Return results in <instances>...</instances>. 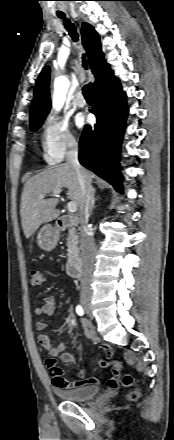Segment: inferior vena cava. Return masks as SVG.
<instances>
[{
    "mask_svg": "<svg viewBox=\"0 0 174 440\" xmlns=\"http://www.w3.org/2000/svg\"><path fill=\"white\" fill-rule=\"evenodd\" d=\"M66 163L71 165L79 179L81 187L82 201L80 205V242L83 259V271L81 276V295L91 294L90 282L95 262V244L90 236V228L88 227V219L91 214V201L93 188L87 172L80 165L78 160V144L75 140L68 143L66 153Z\"/></svg>",
    "mask_w": 174,
    "mask_h": 440,
    "instance_id": "602c4592",
    "label": "inferior vena cava"
}]
</instances>
